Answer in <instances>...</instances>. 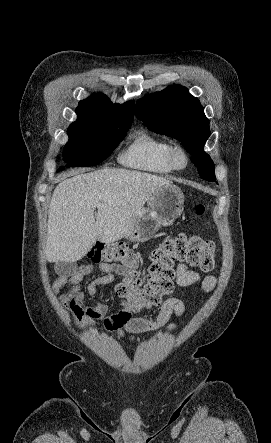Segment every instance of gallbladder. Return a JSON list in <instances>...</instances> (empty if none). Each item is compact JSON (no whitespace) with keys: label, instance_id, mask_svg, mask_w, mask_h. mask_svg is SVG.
Listing matches in <instances>:
<instances>
[{"label":"gallbladder","instance_id":"1","mask_svg":"<svg viewBox=\"0 0 271 443\" xmlns=\"http://www.w3.org/2000/svg\"><path fill=\"white\" fill-rule=\"evenodd\" d=\"M78 268H79L78 260L56 261L54 265L56 273H58V275H61V277L63 278L68 277L69 273H73L74 269Z\"/></svg>","mask_w":271,"mask_h":443}]
</instances>
